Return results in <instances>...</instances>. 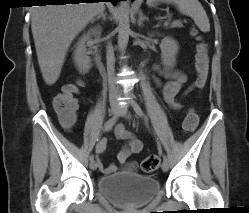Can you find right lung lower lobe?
Wrapping results in <instances>:
<instances>
[{
	"instance_id": "1",
	"label": "right lung lower lobe",
	"mask_w": 249,
	"mask_h": 213,
	"mask_svg": "<svg viewBox=\"0 0 249 213\" xmlns=\"http://www.w3.org/2000/svg\"><path fill=\"white\" fill-rule=\"evenodd\" d=\"M45 2L43 3H54V4H66V3H78L81 1H94V0H44ZM103 1H108L112 2L114 5L121 0H103ZM93 3V2H92Z\"/></svg>"
}]
</instances>
